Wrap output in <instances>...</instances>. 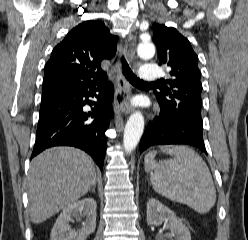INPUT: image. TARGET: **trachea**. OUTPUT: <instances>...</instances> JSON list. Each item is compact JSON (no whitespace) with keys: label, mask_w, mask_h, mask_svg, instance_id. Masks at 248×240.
Instances as JSON below:
<instances>
[{"label":"trachea","mask_w":248,"mask_h":240,"mask_svg":"<svg viewBox=\"0 0 248 240\" xmlns=\"http://www.w3.org/2000/svg\"><path fill=\"white\" fill-rule=\"evenodd\" d=\"M120 61L122 63V67H123V74L125 75V77L133 84H153L156 82H151V83H147L144 82L142 80H140L130 69L127 61L125 60L124 56H122L120 58Z\"/></svg>","instance_id":"obj_1"}]
</instances>
